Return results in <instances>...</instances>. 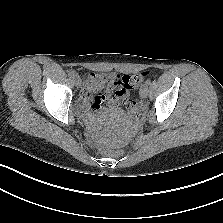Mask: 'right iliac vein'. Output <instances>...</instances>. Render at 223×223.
<instances>
[{
	"mask_svg": "<svg viewBox=\"0 0 223 223\" xmlns=\"http://www.w3.org/2000/svg\"><path fill=\"white\" fill-rule=\"evenodd\" d=\"M74 81H75V85L77 86V88H80L82 85V80L80 79V77L75 76Z\"/></svg>",
	"mask_w": 223,
	"mask_h": 223,
	"instance_id": "obj_1",
	"label": "right iliac vein"
}]
</instances>
